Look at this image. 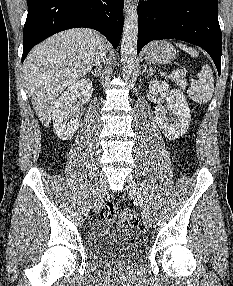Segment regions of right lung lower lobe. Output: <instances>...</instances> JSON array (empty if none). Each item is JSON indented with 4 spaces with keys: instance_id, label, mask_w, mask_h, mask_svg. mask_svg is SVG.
Masks as SVG:
<instances>
[{
    "instance_id": "right-lung-lower-lobe-1",
    "label": "right lung lower lobe",
    "mask_w": 233,
    "mask_h": 286,
    "mask_svg": "<svg viewBox=\"0 0 233 286\" xmlns=\"http://www.w3.org/2000/svg\"><path fill=\"white\" fill-rule=\"evenodd\" d=\"M123 7L124 0H28L22 62L36 44L70 28L95 29L116 48L123 30Z\"/></svg>"
}]
</instances>
